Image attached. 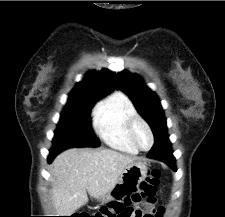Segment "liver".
Wrapping results in <instances>:
<instances>
[{
    "mask_svg": "<svg viewBox=\"0 0 225 217\" xmlns=\"http://www.w3.org/2000/svg\"><path fill=\"white\" fill-rule=\"evenodd\" d=\"M136 160L112 149L72 148L59 154L51 166L52 201L58 216H71L87 204V192L99 199L112 191L124 168Z\"/></svg>",
    "mask_w": 225,
    "mask_h": 217,
    "instance_id": "6515ba94",
    "label": "liver"
}]
</instances>
